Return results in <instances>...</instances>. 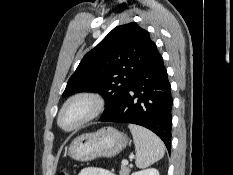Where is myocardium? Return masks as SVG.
<instances>
[{
    "label": "myocardium",
    "mask_w": 233,
    "mask_h": 175,
    "mask_svg": "<svg viewBox=\"0 0 233 175\" xmlns=\"http://www.w3.org/2000/svg\"><path fill=\"white\" fill-rule=\"evenodd\" d=\"M77 102H86L89 104V110L80 120L71 126H64L62 123V118L64 113L75 103ZM105 99L104 97L95 91H80L69 96L64 103L62 104L58 116L57 124L58 126L66 132L74 131L86 123L97 118L105 109Z\"/></svg>",
    "instance_id": "1"
}]
</instances>
